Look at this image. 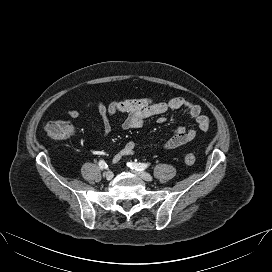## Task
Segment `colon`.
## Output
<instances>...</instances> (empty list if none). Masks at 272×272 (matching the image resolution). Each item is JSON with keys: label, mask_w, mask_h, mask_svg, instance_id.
Masks as SVG:
<instances>
[{"label": "colon", "mask_w": 272, "mask_h": 272, "mask_svg": "<svg viewBox=\"0 0 272 272\" xmlns=\"http://www.w3.org/2000/svg\"><path fill=\"white\" fill-rule=\"evenodd\" d=\"M45 132L48 137L55 140H63L69 138L73 133V124L65 120L51 121L46 124ZM184 161L188 165H192L196 161L194 154L188 153L184 156Z\"/></svg>", "instance_id": "1"}]
</instances>
